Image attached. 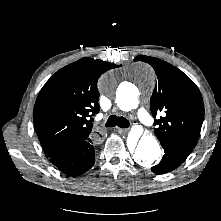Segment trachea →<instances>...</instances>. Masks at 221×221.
I'll list each match as a JSON object with an SVG mask.
<instances>
[{
	"mask_svg": "<svg viewBox=\"0 0 221 221\" xmlns=\"http://www.w3.org/2000/svg\"><path fill=\"white\" fill-rule=\"evenodd\" d=\"M116 125L121 127V128H128L130 124H129V121L126 118H124V117H119V116H116V115H111L108 118L105 126L106 127H115Z\"/></svg>",
	"mask_w": 221,
	"mask_h": 221,
	"instance_id": "3493384b",
	"label": "trachea"
}]
</instances>
